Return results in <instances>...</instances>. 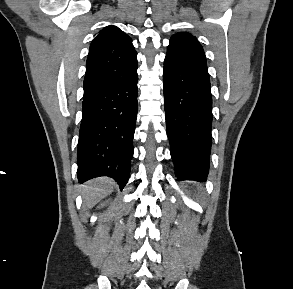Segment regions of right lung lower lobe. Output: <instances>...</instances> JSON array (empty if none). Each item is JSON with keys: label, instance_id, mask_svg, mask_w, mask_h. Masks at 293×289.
I'll return each mask as SVG.
<instances>
[{"label": "right lung lower lobe", "instance_id": "obj_1", "mask_svg": "<svg viewBox=\"0 0 293 289\" xmlns=\"http://www.w3.org/2000/svg\"><path fill=\"white\" fill-rule=\"evenodd\" d=\"M138 75L83 98L78 142V180L108 176L122 190L133 155Z\"/></svg>", "mask_w": 293, "mask_h": 289}]
</instances>
